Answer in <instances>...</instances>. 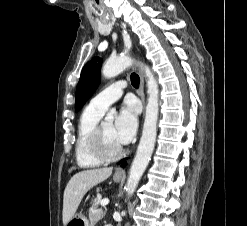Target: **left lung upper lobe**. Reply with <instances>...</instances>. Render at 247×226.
<instances>
[{"instance_id":"obj_1","label":"left lung upper lobe","mask_w":247,"mask_h":226,"mask_svg":"<svg viewBox=\"0 0 247 226\" xmlns=\"http://www.w3.org/2000/svg\"><path fill=\"white\" fill-rule=\"evenodd\" d=\"M102 59L92 58L82 69L80 80L76 88L75 111H79L91 97L100 83V69Z\"/></svg>"}]
</instances>
